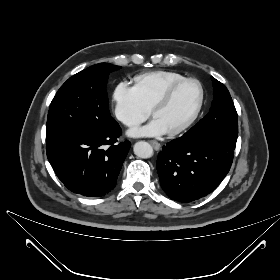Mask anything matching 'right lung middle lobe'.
<instances>
[{
	"label": "right lung middle lobe",
	"mask_w": 280,
	"mask_h": 280,
	"mask_svg": "<svg viewBox=\"0 0 280 280\" xmlns=\"http://www.w3.org/2000/svg\"><path fill=\"white\" fill-rule=\"evenodd\" d=\"M108 63L91 66L70 77L58 90L48 112L46 141L72 131H100L117 122L109 112L106 84Z\"/></svg>",
	"instance_id": "right-lung-middle-lobe-1"
}]
</instances>
